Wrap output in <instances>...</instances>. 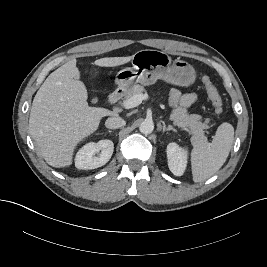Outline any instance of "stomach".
Listing matches in <instances>:
<instances>
[{
    "label": "stomach",
    "instance_id": "stomach-1",
    "mask_svg": "<svg viewBox=\"0 0 267 267\" xmlns=\"http://www.w3.org/2000/svg\"><path fill=\"white\" fill-rule=\"evenodd\" d=\"M133 67L120 70L116 75L119 89L129 91L140 83L154 84L158 79L177 86H189L195 81V70L186 61L171 57L162 51L145 49L136 52L131 59Z\"/></svg>",
    "mask_w": 267,
    "mask_h": 267
}]
</instances>
